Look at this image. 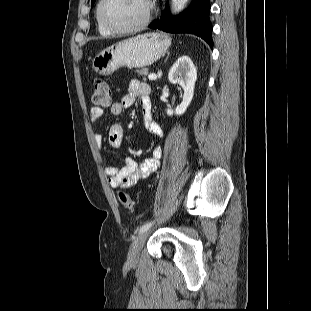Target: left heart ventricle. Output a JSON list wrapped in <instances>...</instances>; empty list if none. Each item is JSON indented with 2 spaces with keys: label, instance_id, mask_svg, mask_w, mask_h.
Here are the masks:
<instances>
[{
  "label": "left heart ventricle",
  "instance_id": "1",
  "mask_svg": "<svg viewBox=\"0 0 311 311\" xmlns=\"http://www.w3.org/2000/svg\"><path fill=\"white\" fill-rule=\"evenodd\" d=\"M145 12V0H107L103 7L104 18L119 28L135 25L141 21Z\"/></svg>",
  "mask_w": 311,
  "mask_h": 311
}]
</instances>
